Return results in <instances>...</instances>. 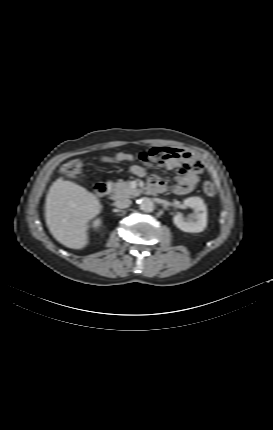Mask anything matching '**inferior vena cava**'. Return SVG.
Returning a JSON list of instances; mask_svg holds the SVG:
<instances>
[{"instance_id": "inferior-vena-cava-1", "label": "inferior vena cava", "mask_w": 273, "mask_h": 430, "mask_svg": "<svg viewBox=\"0 0 273 430\" xmlns=\"http://www.w3.org/2000/svg\"><path fill=\"white\" fill-rule=\"evenodd\" d=\"M114 205L118 208H127L131 205V200L127 198H122L117 200Z\"/></svg>"}]
</instances>
